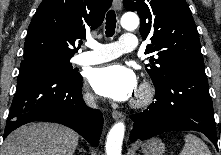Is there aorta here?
Listing matches in <instances>:
<instances>
[{
  "label": "aorta",
  "mask_w": 221,
  "mask_h": 155,
  "mask_svg": "<svg viewBox=\"0 0 221 155\" xmlns=\"http://www.w3.org/2000/svg\"><path fill=\"white\" fill-rule=\"evenodd\" d=\"M121 25L126 30H134L139 25V18L135 14H126L121 19ZM124 132L125 125L123 122L113 125L107 135L106 155H121Z\"/></svg>",
  "instance_id": "1"
}]
</instances>
